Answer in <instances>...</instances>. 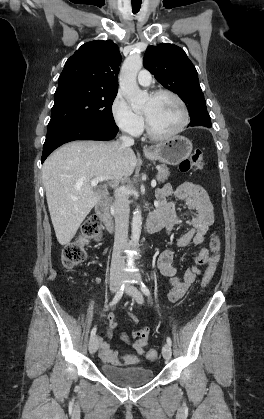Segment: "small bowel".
<instances>
[{
	"mask_svg": "<svg viewBox=\"0 0 264 419\" xmlns=\"http://www.w3.org/2000/svg\"><path fill=\"white\" fill-rule=\"evenodd\" d=\"M177 202H184L187 210L178 213L176 211ZM157 204L156 214L164 219L167 234H170L175 226L182 223L188 225L186 231L178 239L177 245L184 248L193 243L200 247L199 252L194 257V263L187 268L182 276L177 274L178 270L173 263L174 255L171 250H165L159 255V270L163 276L170 279L171 290L168 293V298L170 301L176 302L184 297L190 286L202 273L200 268L202 265H216L219 261L218 254L210 253L204 247L206 233L214 222V215L208 195L203 187L190 181L180 184L175 189L169 184L163 186L157 193ZM114 334L131 344L137 355L142 356L149 344L151 330L149 327H142L132 330L130 334L118 331L116 329L115 313L110 312L107 315L105 334L97 338L99 356L103 362L111 365H128L136 363L137 357L126 355L121 358L110 346V339Z\"/></svg>",
	"mask_w": 264,
	"mask_h": 419,
	"instance_id": "obj_1",
	"label": "small bowel"
}]
</instances>
